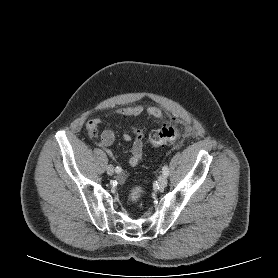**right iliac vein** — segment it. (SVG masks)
<instances>
[{
  "mask_svg": "<svg viewBox=\"0 0 278 278\" xmlns=\"http://www.w3.org/2000/svg\"><path fill=\"white\" fill-rule=\"evenodd\" d=\"M106 171H107V174H108V175H113V174H114V168H113V166L109 165V166L107 167Z\"/></svg>",
  "mask_w": 278,
  "mask_h": 278,
  "instance_id": "right-iliac-vein-1",
  "label": "right iliac vein"
}]
</instances>
